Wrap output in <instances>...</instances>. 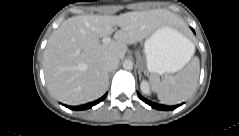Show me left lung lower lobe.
I'll list each match as a JSON object with an SVG mask.
<instances>
[{
    "instance_id": "0a47b994",
    "label": "left lung lower lobe",
    "mask_w": 239,
    "mask_h": 136,
    "mask_svg": "<svg viewBox=\"0 0 239 136\" xmlns=\"http://www.w3.org/2000/svg\"><path fill=\"white\" fill-rule=\"evenodd\" d=\"M138 96L140 97V99L142 101H144L145 103H147L148 105H150L152 108H156L158 110H173L175 108H177L179 105H176V106H166V105H161V104H156L154 102H151L147 99H145L144 97H142L139 93H138Z\"/></svg>"
}]
</instances>
